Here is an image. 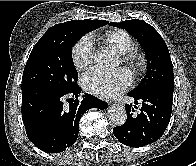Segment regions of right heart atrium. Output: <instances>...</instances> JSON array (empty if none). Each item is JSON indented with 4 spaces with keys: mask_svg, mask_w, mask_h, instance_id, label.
<instances>
[{
    "mask_svg": "<svg viewBox=\"0 0 196 166\" xmlns=\"http://www.w3.org/2000/svg\"><path fill=\"white\" fill-rule=\"evenodd\" d=\"M71 58L77 69H88L94 60V45L92 37L83 36L77 40L71 49Z\"/></svg>",
    "mask_w": 196,
    "mask_h": 166,
    "instance_id": "1",
    "label": "right heart atrium"
}]
</instances>
